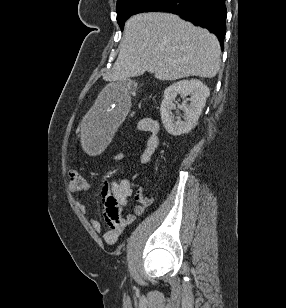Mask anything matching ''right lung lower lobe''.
Segmentation results:
<instances>
[{
	"instance_id": "98d812e1",
	"label": "right lung lower lobe",
	"mask_w": 286,
	"mask_h": 308,
	"mask_svg": "<svg viewBox=\"0 0 286 308\" xmlns=\"http://www.w3.org/2000/svg\"><path fill=\"white\" fill-rule=\"evenodd\" d=\"M153 11L170 12L195 25L213 32L220 41L226 34V6L225 0H168Z\"/></svg>"
}]
</instances>
